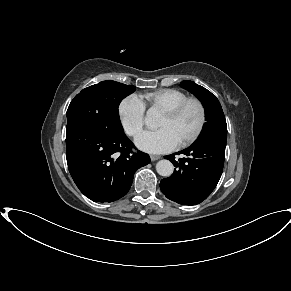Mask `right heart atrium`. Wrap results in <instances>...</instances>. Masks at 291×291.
<instances>
[{"mask_svg":"<svg viewBox=\"0 0 291 291\" xmlns=\"http://www.w3.org/2000/svg\"><path fill=\"white\" fill-rule=\"evenodd\" d=\"M120 124L129 136L138 135L145 123V104L135 94L121 100L117 109Z\"/></svg>","mask_w":291,"mask_h":291,"instance_id":"d8ad5b80","label":"right heart atrium"}]
</instances>
